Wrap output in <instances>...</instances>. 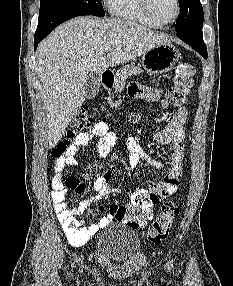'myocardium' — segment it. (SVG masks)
<instances>
[{
  "label": "myocardium",
  "mask_w": 233,
  "mask_h": 286,
  "mask_svg": "<svg viewBox=\"0 0 233 286\" xmlns=\"http://www.w3.org/2000/svg\"><path fill=\"white\" fill-rule=\"evenodd\" d=\"M174 1H175V5H176V13H175L174 18L172 20H170L169 22L161 23V22L156 21L152 15V13H151L150 0H140L142 9H143L145 15L156 27L170 26L178 20L180 13H181V5H180L179 0H174Z\"/></svg>",
  "instance_id": "f54148a6"
}]
</instances>
